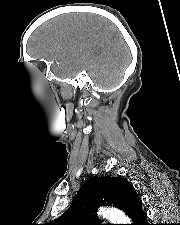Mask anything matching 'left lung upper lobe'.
<instances>
[{
	"mask_svg": "<svg viewBox=\"0 0 180 225\" xmlns=\"http://www.w3.org/2000/svg\"><path fill=\"white\" fill-rule=\"evenodd\" d=\"M102 205H113L129 217L142 209V201L127 180L93 176L82 185L68 210L47 225H103L92 217Z\"/></svg>",
	"mask_w": 180,
	"mask_h": 225,
	"instance_id": "5c2ea615",
	"label": "left lung upper lobe"
}]
</instances>
